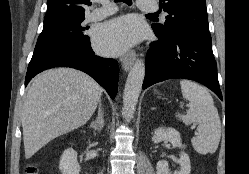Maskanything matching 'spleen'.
Here are the masks:
<instances>
[{
	"label": "spleen",
	"mask_w": 249,
	"mask_h": 174,
	"mask_svg": "<svg viewBox=\"0 0 249 174\" xmlns=\"http://www.w3.org/2000/svg\"><path fill=\"white\" fill-rule=\"evenodd\" d=\"M180 85L183 97L190 102V108L186 115L176 116L186 125L198 124V133L191 143L199 154L215 153L221 138V121L212 96L195 82L182 80Z\"/></svg>",
	"instance_id": "1"
}]
</instances>
